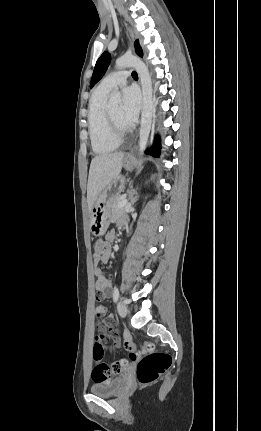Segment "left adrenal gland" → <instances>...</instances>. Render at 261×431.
Returning a JSON list of instances; mask_svg holds the SVG:
<instances>
[{"mask_svg":"<svg viewBox=\"0 0 261 431\" xmlns=\"http://www.w3.org/2000/svg\"><path fill=\"white\" fill-rule=\"evenodd\" d=\"M131 201H132V202H135V198H133L132 196H131Z\"/></svg>","mask_w":261,"mask_h":431,"instance_id":"a2214340","label":"left adrenal gland"}]
</instances>
